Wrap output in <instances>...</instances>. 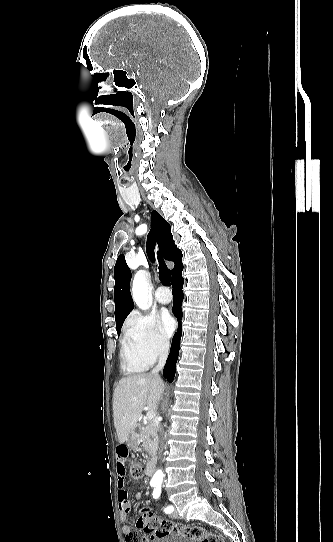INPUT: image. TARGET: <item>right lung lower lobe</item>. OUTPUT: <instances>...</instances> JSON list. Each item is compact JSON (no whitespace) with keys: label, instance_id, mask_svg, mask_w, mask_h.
Instances as JSON below:
<instances>
[{"label":"right lung lower lobe","instance_id":"98d812e1","mask_svg":"<svg viewBox=\"0 0 333 542\" xmlns=\"http://www.w3.org/2000/svg\"><path fill=\"white\" fill-rule=\"evenodd\" d=\"M182 253L176 257L174 260L175 266L172 269V279L171 284L173 287V314L177 317V320L179 322V327L177 329V332L174 334L171 348H170V354L167 359V362L165 364L164 370H163V376L168 382H172L175 376V367L179 355V347H180V339L182 335V328L180 326V320L182 318V311H181V304L183 300V283L184 279L182 277V270H183V264H182Z\"/></svg>","mask_w":333,"mask_h":542}]
</instances>
